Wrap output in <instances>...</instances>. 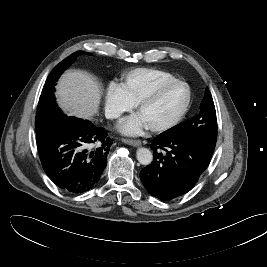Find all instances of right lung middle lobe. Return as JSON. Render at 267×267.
Instances as JSON below:
<instances>
[{
	"label": "right lung middle lobe",
	"instance_id": "1",
	"mask_svg": "<svg viewBox=\"0 0 267 267\" xmlns=\"http://www.w3.org/2000/svg\"><path fill=\"white\" fill-rule=\"evenodd\" d=\"M79 54L80 52L77 51L76 53H73L72 55L64 59L61 63L56 65L48 75L38 102L35 120L36 132H38L40 128L45 125L50 118L58 115H63L62 111L60 110V108H58L55 102V85L63 71L66 70L76 60V57Z\"/></svg>",
	"mask_w": 267,
	"mask_h": 267
}]
</instances>
